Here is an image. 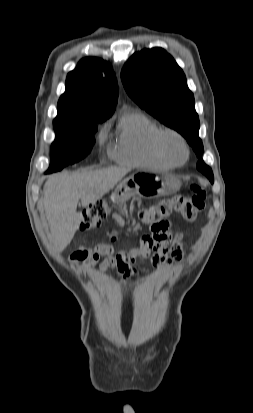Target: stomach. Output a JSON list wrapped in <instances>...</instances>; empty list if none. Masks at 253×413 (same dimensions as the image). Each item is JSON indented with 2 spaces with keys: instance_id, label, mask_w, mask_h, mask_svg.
Listing matches in <instances>:
<instances>
[{
  "instance_id": "stomach-1",
  "label": "stomach",
  "mask_w": 253,
  "mask_h": 413,
  "mask_svg": "<svg viewBox=\"0 0 253 413\" xmlns=\"http://www.w3.org/2000/svg\"><path fill=\"white\" fill-rule=\"evenodd\" d=\"M180 186V181L174 176L137 172L119 184L110 199L115 203H124L133 196L143 198L168 196L177 192Z\"/></svg>"
}]
</instances>
